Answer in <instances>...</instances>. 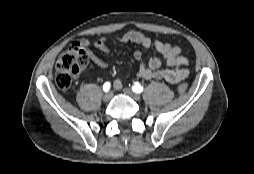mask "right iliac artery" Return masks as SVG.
I'll list each match as a JSON object with an SVG mask.
<instances>
[{
  "label": "right iliac artery",
  "mask_w": 254,
  "mask_h": 174,
  "mask_svg": "<svg viewBox=\"0 0 254 174\" xmlns=\"http://www.w3.org/2000/svg\"><path fill=\"white\" fill-rule=\"evenodd\" d=\"M110 86H111L110 82H106V83L103 85V90H104L105 92H108L109 89H110Z\"/></svg>",
  "instance_id": "82829eb1"
}]
</instances>
